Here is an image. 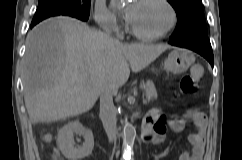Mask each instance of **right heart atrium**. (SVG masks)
Returning a JSON list of instances; mask_svg holds the SVG:
<instances>
[{"label": "right heart atrium", "instance_id": "obj_1", "mask_svg": "<svg viewBox=\"0 0 242 160\" xmlns=\"http://www.w3.org/2000/svg\"><path fill=\"white\" fill-rule=\"evenodd\" d=\"M94 16L99 26L105 30H115L119 26L117 16L109 9L104 0H97Z\"/></svg>", "mask_w": 242, "mask_h": 160}]
</instances>
